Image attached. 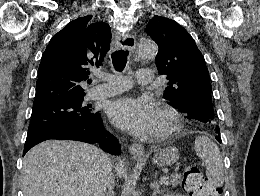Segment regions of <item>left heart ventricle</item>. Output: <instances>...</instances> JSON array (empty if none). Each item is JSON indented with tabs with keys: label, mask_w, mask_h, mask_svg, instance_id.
<instances>
[{
	"label": "left heart ventricle",
	"mask_w": 260,
	"mask_h": 196,
	"mask_svg": "<svg viewBox=\"0 0 260 196\" xmlns=\"http://www.w3.org/2000/svg\"><path fill=\"white\" fill-rule=\"evenodd\" d=\"M159 122H160V116H159V113L156 109V116H155V122H154L153 128H155L159 124Z\"/></svg>",
	"instance_id": "left-heart-ventricle-1"
}]
</instances>
